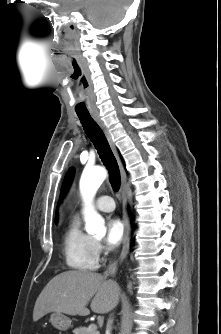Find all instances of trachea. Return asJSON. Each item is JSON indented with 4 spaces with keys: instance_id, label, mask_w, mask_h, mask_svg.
<instances>
[{
    "instance_id": "trachea-1",
    "label": "trachea",
    "mask_w": 221,
    "mask_h": 334,
    "mask_svg": "<svg viewBox=\"0 0 221 334\" xmlns=\"http://www.w3.org/2000/svg\"><path fill=\"white\" fill-rule=\"evenodd\" d=\"M78 117L85 133L94 144L103 164L109 171V180L112 188L117 191L121 183L120 171L103 131L90 114L78 115Z\"/></svg>"
}]
</instances>
